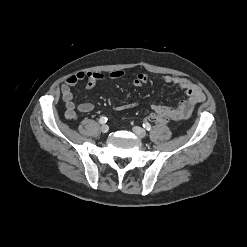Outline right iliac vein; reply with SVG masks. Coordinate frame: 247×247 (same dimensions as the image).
<instances>
[{
    "mask_svg": "<svg viewBox=\"0 0 247 247\" xmlns=\"http://www.w3.org/2000/svg\"><path fill=\"white\" fill-rule=\"evenodd\" d=\"M100 129L102 133H107L109 131V127L107 125H102Z\"/></svg>",
    "mask_w": 247,
    "mask_h": 247,
    "instance_id": "63e3f726",
    "label": "right iliac vein"
}]
</instances>
